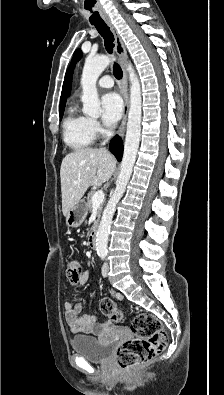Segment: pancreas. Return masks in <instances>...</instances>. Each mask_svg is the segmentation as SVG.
I'll list each match as a JSON object with an SVG mask.
<instances>
[{
    "label": "pancreas",
    "instance_id": "pancreas-1",
    "mask_svg": "<svg viewBox=\"0 0 224 395\" xmlns=\"http://www.w3.org/2000/svg\"><path fill=\"white\" fill-rule=\"evenodd\" d=\"M94 194H95V191H91V192H89L88 195H87V202H86L85 206H86L87 211H89V212H91L92 209H93L92 197H93ZM102 208H103V204H101V205L98 207V209H97V220H96V222L94 223V225H93V227H92V230H94V229L96 228V225H97V223H98V221H99V219H100V215H101V212H102Z\"/></svg>",
    "mask_w": 224,
    "mask_h": 395
}]
</instances>
